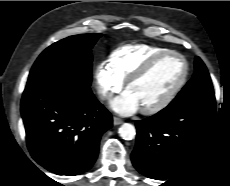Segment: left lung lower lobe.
I'll return each mask as SVG.
<instances>
[{
  "mask_svg": "<svg viewBox=\"0 0 230 186\" xmlns=\"http://www.w3.org/2000/svg\"><path fill=\"white\" fill-rule=\"evenodd\" d=\"M215 96L208 94L169 104L157 114L136 122L134 167L157 180L171 178L186 166L204 144L215 119Z\"/></svg>",
  "mask_w": 230,
  "mask_h": 186,
  "instance_id": "0a47b994",
  "label": "left lung lower lobe"
}]
</instances>
